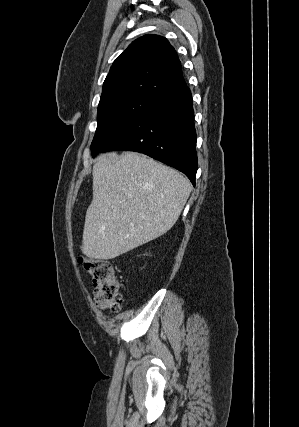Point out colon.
<instances>
[{"label": "colon", "instance_id": "5ec220e1", "mask_svg": "<svg viewBox=\"0 0 299 427\" xmlns=\"http://www.w3.org/2000/svg\"><path fill=\"white\" fill-rule=\"evenodd\" d=\"M78 262L92 278L96 305L112 312L120 310L122 284L115 276L112 264L105 259L85 256H80Z\"/></svg>", "mask_w": 299, "mask_h": 427}]
</instances>
